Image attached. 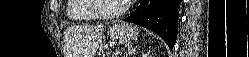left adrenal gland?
I'll return each instance as SVG.
<instances>
[{
	"mask_svg": "<svg viewBox=\"0 0 249 57\" xmlns=\"http://www.w3.org/2000/svg\"><path fill=\"white\" fill-rule=\"evenodd\" d=\"M135 51H136V48L130 46V47L128 48V51H127L125 57H129L130 55H132L133 53H135Z\"/></svg>",
	"mask_w": 249,
	"mask_h": 57,
	"instance_id": "obj_1",
	"label": "left adrenal gland"
}]
</instances>
